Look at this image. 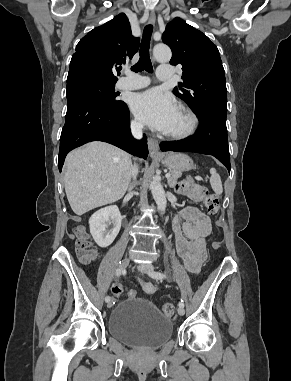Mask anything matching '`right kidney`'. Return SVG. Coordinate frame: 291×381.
<instances>
[{"mask_svg": "<svg viewBox=\"0 0 291 381\" xmlns=\"http://www.w3.org/2000/svg\"><path fill=\"white\" fill-rule=\"evenodd\" d=\"M122 217L117 206H107L95 212L89 219L90 233L100 247L109 246L118 235ZM112 223V228L107 229Z\"/></svg>", "mask_w": 291, "mask_h": 381, "instance_id": "obj_1", "label": "right kidney"}]
</instances>
